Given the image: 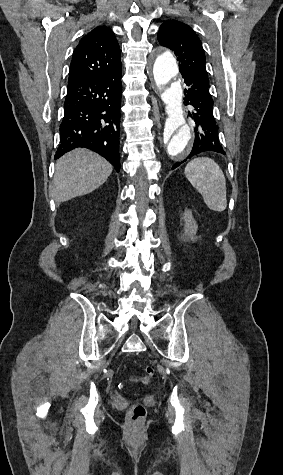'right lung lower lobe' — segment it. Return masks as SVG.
Instances as JSON below:
<instances>
[{"label":"right lung lower lobe","instance_id":"1","mask_svg":"<svg viewBox=\"0 0 283 475\" xmlns=\"http://www.w3.org/2000/svg\"><path fill=\"white\" fill-rule=\"evenodd\" d=\"M121 95V71L99 79L68 82L55 159L74 148L85 147L119 171Z\"/></svg>","mask_w":283,"mask_h":475}]
</instances>
